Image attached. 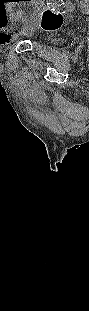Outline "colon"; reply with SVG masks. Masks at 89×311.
Segmentation results:
<instances>
[{"label":"colon","instance_id":"colon-1","mask_svg":"<svg viewBox=\"0 0 89 311\" xmlns=\"http://www.w3.org/2000/svg\"><path fill=\"white\" fill-rule=\"evenodd\" d=\"M3 21L7 24V17L4 15L2 17ZM63 22V16L58 11L46 10L43 12L41 17V28L44 30H55L61 26ZM24 25L22 23H16L13 25V29L16 31L22 30Z\"/></svg>","mask_w":89,"mask_h":311}]
</instances>
